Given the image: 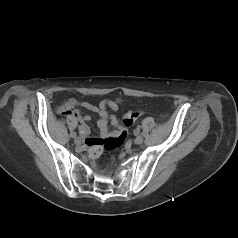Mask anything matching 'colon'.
Wrapping results in <instances>:
<instances>
[{"mask_svg":"<svg viewBox=\"0 0 238 238\" xmlns=\"http://www.w3.org/2000/svg\"><path fill=\"white\" fill-rule=\"evenodd\" d=\"M139 112L135 111H127L120 115V122L123 124L121 129V134L117 137H108L102 140L97 141V143L90 148L91 157H99L103 154L104 150H113L119 147L127 136V130H129V126H131L135 120L138 118Z\"/></svg>","mask_w":238,"mask_h":238,"instance_id":"1","label":"colon"}]
</instances>
